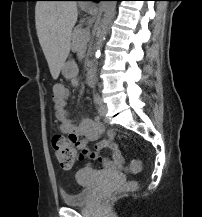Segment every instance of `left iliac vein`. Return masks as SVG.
<instances>
[{
	"label": "left iliac vein",
	"mask_w": 202,
	"mask_h": 217,
	"mask_svg": "<svg viewBox=\"0 0 202 217\" xmlns=\"http://www.w3.org/2000/svg\"><path fill=\"white\" fill-rule=\"evenodd\" d=\"M107 105H105L102 101L101 103L99 104V108H98V111H99V114L100 116L104 117L107 113Z\"/></svg>",
	"instance_id": "obj_1"
}]
</instances>
